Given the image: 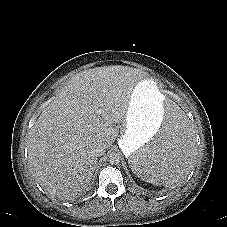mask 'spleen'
I'll return each instance as SVG.
<instances>
[{"label": "spleen", "mask_w": 227, "mask_h": 227, "mask_svg": "<svg viewBox=\"0 0 227 227\" xmlns=\"http://www.w3.org/2000/svg\"><path fill=\"white\" fill-rule=\"evenodd\" d=\"M163 118L155 124V134L127 156V165L139 179L173 187L184 181L194 167L195 136L188 114L174 101L162 106Z\"/></svg>", "instance_id": "obj_1"}]
</instances>
